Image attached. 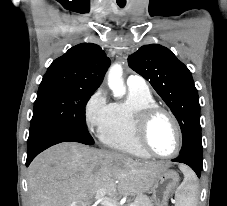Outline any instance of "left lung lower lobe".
<instances>
[{"label": "left lung lower lobe", "mask_w": 227, "mask_h": 206, "mask_svg": "<svg viewBox=\"0 0 227 206\" xmlns=\"http://www.w3.org/2000/svg\"><path fill=\"white\" fill-rule=\"evenodd\" d=\"M173 162L184 163L190 166L198 177H200L201 171L203 169L202 156L193 153L190 150L180 153V155L172 159Z\"/></svg>", "instance_id": "1"}]
</instances>
